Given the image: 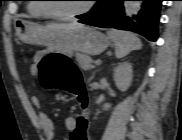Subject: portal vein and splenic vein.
<instances>
[{"instance_id":"18ae733b","label":"portal vein and splenic vein","mask_w":182,"mask_h":140,"mask_svg":"<svg viewBox=\"0 0 182 140\" xmlns=\"http://www.w3.org/2000/svg\"><path fill=\"white\" fill-rule=\"evenodd\" d=\"M101 63V60H96L95 61V64H100Z\"/></svg>"}]
</instances>
